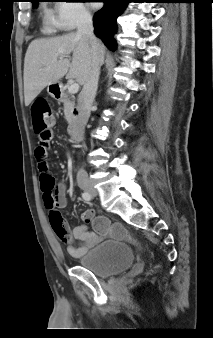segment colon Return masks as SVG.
Instances as JSON below:
<instances>
[{
	"instance_id": "5ec220e1",
	"label": "colon",
	"mask_w": 213,
	"mask_h": 338,
	"mask_svg": "<svg viewBox=\"0 0 213 338\" xmlns=\"http://www.w3.org/2000/svg\"><path fill=\"white\" fill-rule=\"evenodd\" d=\"M33 128L40 140H46L51 134L52 114L49 104L43 99H37L32 104ZM42 198L45 208L50 212L49 219L53 228L63 223L60 212L57 211V201L54 195L55 180L46 161L38 162Z\"/></svg>"
}]
</instances>
